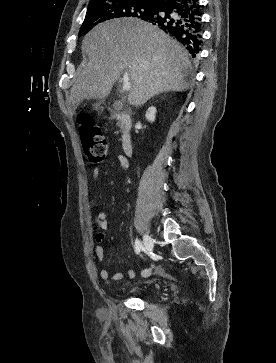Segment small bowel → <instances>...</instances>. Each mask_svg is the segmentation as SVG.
<instances>
[{"label":"small bowel","instance_id":"obj_1","mask_svg":"<svg viewBox=\"0 0 276 363\" xmlns=\"http://www.w3.org/2000/svg\"><path fill=\"white\" fill-rule=\"evenodd\" d=\"M124 164H127L126 161H124ZM92 174L93 177L95 179L99 178L100 176V169L95 167L92 170ZM95 218V222L98 225L99 228L101 229H106L108 226L107 223V214L105 211L101 210L99 212H97L94 216ZM96 254H97V258L100 262L104 261L105 259V255H104V249L102 246H97L96 247ZM156 269V266L154 264H151L150 267L144 269L141 271V276L142 277H148L152 274V272ZM100 277L103 280H109L112 279L114 281H121L125 278V276H127L130 279H133L135 277V271L133 269H127L126 273H121V272H117L114 273L113 275L110 274V271L107 268H103L100 270Z\"/></svg>","mask_w":276,"mask_h":363}]
</instances>
